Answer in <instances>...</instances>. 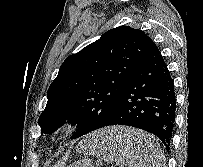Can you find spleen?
I'll list each match as a JSON object with an SVG mask.
<instances>
[{"mask_svg": "<svg viewBox=\"0 0 203 167\" xmlns=\"http://www.w3.org/2000/svg\"><path fill=\"white\" fill-rule=\"evenodd\" d=\"M104 143L105 137L94 134L89 137L87 142L85 140L82 150L96 154L103 160L115 161L120 167H165L163 166L164 154L159 143L152 137L145 139L136 152L127 149V144L122 148H109L104 146Z\"/></svg>", "mask_w": 203, "mask_h": 167, "instance_id": "spleen-1", "label": "spleen"}]
</instances>
